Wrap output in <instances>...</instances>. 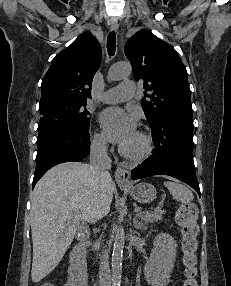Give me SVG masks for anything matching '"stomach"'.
Here are the masks:
<instances>
[{
	"instance_id": "obj_1",
	"label": "stomach",
	"mask_w": 231,
	"mask_h": 286,
	"mask_svg": "<svg viewBox=\"0 0 231 286\" xmlns=\"http://www.w3.org/2000/svg\"><path fill=\"white\" fill-rule=\"evenodd\" d=\"M139 203H149L156 198V188L149 183L141 182L135 185L120 186Z\"/></svg>"
}]
</instances>
